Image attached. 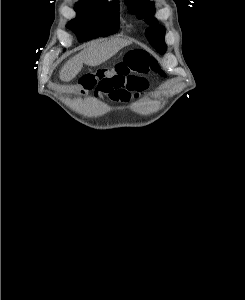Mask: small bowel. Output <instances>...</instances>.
<instances>
[{"mask_svg": "<svg viewBox=\"0 0 245 300\" xmlns=\"http://www.w3.org/2000/svg\"><path fill=\"white\" fill-rule=\"evenodd\" d=\"M148 89V82L143 77L126 79L115 74H105L96 84V97L115 103H128L138 98Z\"/></svg>", "mask_w": 245, "mask_h": 300, "instance_id": "1", "label": "small bowel"}]
</instances>
